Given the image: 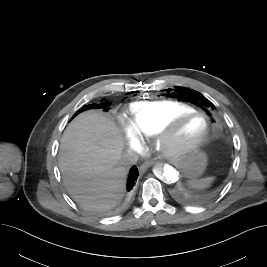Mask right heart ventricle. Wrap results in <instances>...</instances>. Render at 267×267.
I'll list each match as a JSON object with an SVG mask.
<instances>
[{
	"label": "right heart ventricle",
	"mask_w": 267,
	"mask_h": 267,
	"mask_svg": "<svg viewBox=\"0 0 267 267\" xmlns=\"http://www.w3.org/2000/svg\"><path fill=\"white\" fill-rule=\"evenodd\" d=\"M192 110L195 108L180 101H138L130 104L127 113L130 126L139 135L150 138L166 121Z\"/></svg>",
	"instance_id": "obj_1"
}]
</instances>
